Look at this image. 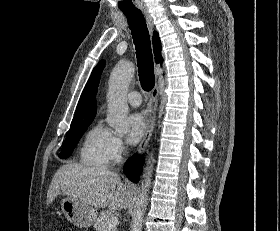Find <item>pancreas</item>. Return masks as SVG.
<instances>
[{"label":"pancreas","mask_w":280,"mask_h":231,"mask_svg":"<svg viewBox=\"0 0 280 231\" xmlns=\"http://www.w3.org/2000/svg\"><path fill=\"white\" fill-rule=\"evenodd\" d=\"M114 217L115 213L114 211H100L98 217H96L95 221V231H105V223L107 219H110V217ZM110 231V229H109ZM112 231H117V227H113Z\"/></svg>","instance_id":"obj_1"}]
</instances>
